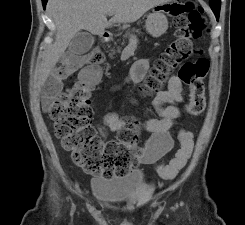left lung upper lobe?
<instances>
[{"mask_svg": "<svg viewBox=\"0 0 245 225\" xmlns=\"http://www.w3.org/2000/svg\"><path fill=\"white\" fill-rule=\"evenodd\" d=\"M209 4L218 19L220 14L221 0H209Z\"/></svg>", "mask_w": 245, "mask_h": 225, "instance_id": "5c2ea615", "label": "left lung upper lobe"}]
</instances>
